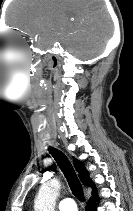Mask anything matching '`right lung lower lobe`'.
<instances>
[{"mask_svg": "<svg viewBox=\"0 0 133 211\" xmlns=\"http://www.w3.org/2000/svg\"><path fill=\"white\" fill-rule=\"evenodd\" d=\"M96 198H91L89 200L86 211H96Z\"/></svg>", "mask_w": 133, "mask_h": 211, "instance_id": "1", "label": "right lung lower lobe"}]
</instances>
